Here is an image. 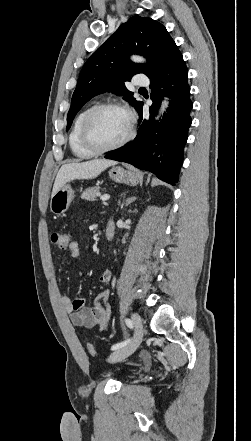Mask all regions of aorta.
Segmentation results:
<instances>
[{
    "label": "aorta",
    "instance_id": "obj_1",
    "mask_svg": "<svg viewBox=\"0 0 251 441\" xmlns=\"http://www.w3.org/2000/svg\"><path fill=\"white\" fill-rule=\"evenodd\" d=\"M132 60H133L134 62H142V61H143V59H142L141 57H138V56H132ZM168 104H169V101H168V99L166 98V99L162 102V104H161V107H160V110H159V115L157 116L156 119H158V118L160 117V115L164 113V111H165L166 108L168 107Z\"/></svg>",
    "mask_w": 251,
    "mask_h": 441
}]
</instances>
